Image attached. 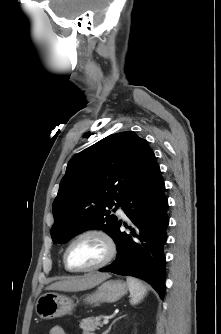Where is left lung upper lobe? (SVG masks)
<instances>
[{
  "mask_svg": "<svg viewBox=\"0 0 221 334\" xmlns=\"http://www.w3.org/2000/svg\"><path fill=\"white\" fill-rule=\"evenodd\" d=\"M147 141L133 131L109 135L70 159L53 202L51 237L65 243L87 229H102L110 236L117 218L110 215L152 159ZM116 207V208H117Z\"/></svg>",
  "mask_w": 221,
  "mask_h": 334,
  "instance_id": "obj_1",
  "label": "left lung upper lobe"
}]
</instances>
